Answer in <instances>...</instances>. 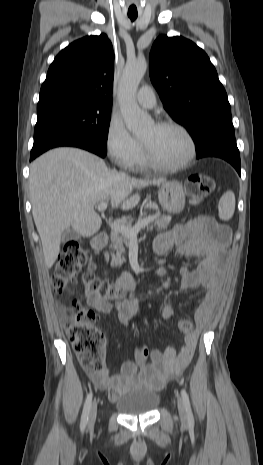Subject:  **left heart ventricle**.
Instances as JSON below:
<instances>
[{
    "instance_id": "b2bd125f",
    "label": "left heart ventricle",
    "mask_w": 263,
    "mask_h": 465,
    "mask_svg": "<svg viewBox=\"0 0 263 465\" xmlns=\"http://www.w3.org/2000/svg\"><path fill=\"white\" fill-rule=\"evenodd\" d=\"M151 149L154 156L164 164L182 162L189 153V142L185 135L175 128H157L150 125L140 137Z\"/></svg>"
}]
</instances>
